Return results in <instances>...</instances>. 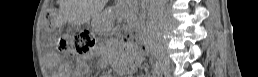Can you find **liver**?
<instances>
[{
    "label": "liver",
    "instance_id": "liver-1",
    "mask_svg": "<svg viewBox=\"0 0 258 77\" xmlns=\"http://www.w3.org/2000/svg\"><path fill=\"white\" fill-rule=\"evenodd\" d=\"M104 0H61V15L69 17L74 23H84L100 15Z\"/></svg>",
    "mask_w": 258,
    "mask_h": 77
}]
</instances>
